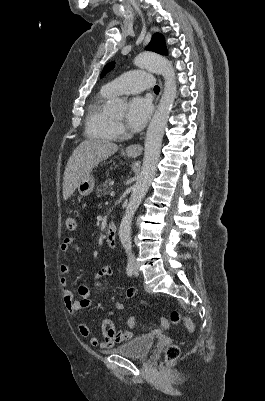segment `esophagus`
Returning a JSON list of instances; mask_svg holds the SVG:
<instances>
[{"label":"esophagus","instance_id":"obj_1","mask_svg":"<svg viewBox=\"0 0 265 401\" xmlns=\"http://www.w3.org/2000/svg\"><path fill=\"white\" fill-rule=\"evenodd\" d=\"M159 83H160V86L162 87V83H161L160 79H159ZM158 99H159V96L157 97V99L155 101V105L157 104ZM142 151H143L142 145H130L126 148L127 154L132 157L141 155Z\"/></svg>","mask_w":265,"mask_h":401}]
</instances>
